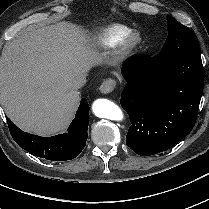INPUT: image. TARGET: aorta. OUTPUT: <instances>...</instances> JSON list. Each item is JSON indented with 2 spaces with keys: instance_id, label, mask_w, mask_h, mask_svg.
<instances>
[{
  "instance_id": "1",
  "label": "aorta",
  "mask_w": 209,
  "mask_h": 209,
  "mask_svg": "<svg viewBox=\"0 0 209 209\" xmlns=\"http://www.w3.org/2000/svg\"><path fill=\"white\" fill-rule=\"evenodd\" d=\"M92 111L95 116L110 120H122L123 114L120 108L107 99H97L92 104Z\"/></svg>"
}]
</instances>
